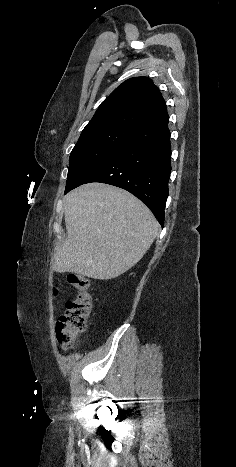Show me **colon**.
Segmentation results:
<instances>
[{"mask_svg": "<svg viewBox=\"0 0 236 467\" xmlns=\"http://www.w3.org/2000/svg\"><path fill=\"white\" fill-rule=\"evenodd\" d=\"M68 283L78 295L66 302V309L56 323L57 340L64 350L71 349L76 338L85 332L92 312L88 278L82 274L72 273L69 275Z\"/></svg>", "mask_w": 236, "mask_h": 467, "instance_id": "1", "label": "colon"}]
</instances>
